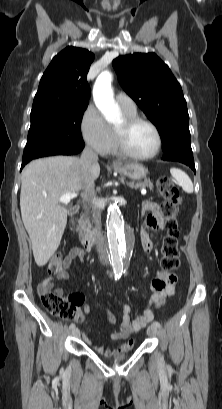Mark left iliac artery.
I'll return each instance as SVG.
<instances>
[{"instance_id":"1","label":"left iliac artery","mask_w":222,"mask_h":409,"mask_svg":"<svg viewBox=\"0 0 222 409\" xmlns=\"http://www.w3.org/2000/svg\"><path fill=\"white\" fill-rule=\"evenodd\" d=\"M153 325L156 326L157 328H160V327H161L160 323L157 322V321H154V322H153Z\"/></svg>"}]
</instances>
